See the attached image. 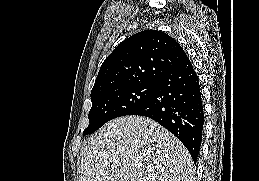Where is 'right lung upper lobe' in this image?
I'll list each match as a JSON object with an SVG mask.
<instances>
[{
	"instance_id": "cb5924a9",
	"label": "right lung upper lobe",
	"mask_w": 259,
	"mask_h": 181,
	"mask_svg": "<svg viewBox=\"0 0 259 181\" xmlns=\"http://www.w3.org/2000/svg\"><path fill=\"white\" fill-rule=\"evenodd\" d=\"M180 44L157 30L141 31L121 42L103 62L91 95L133 84L154 83L187 59Z\"/></svg>"
}]
</instances>
